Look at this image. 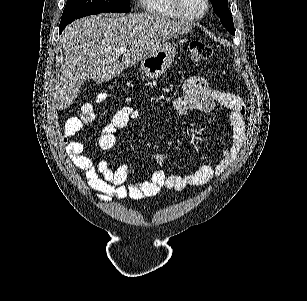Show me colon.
<instances>
[{
    "label": "colon",
    "mask_w": 307,
    "mask_h": 301,
    "mask_svg": "<svg viewBox=\"0 0 307 301\" xmlns=\"http://www.w3.org/2000/svg\"><path fill=\"white\" fill-rule=\"evenodd\" d=\"M188 54L192 61L197 63L204 62L212 56V48L210 45L203 41L194 40L191 41L188 45ZM105 98L106 96L104 94H101L98 97V101L103 102ZM80 118L83 124H90L95 118L93 107L91 105H86L82 109Z\"/></svg>",
    "instance_id": "5ec220e1"
}]
</instances>
